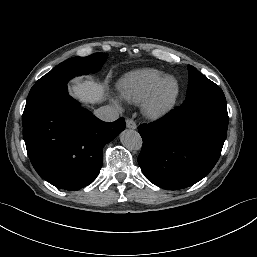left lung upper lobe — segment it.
Returning <instances> with one entry per match:
<instances>
[{"instance_id": "left-lung-upper-lobe-1", "label": "left lung upper lobe", "mask_w": 257, "mask_h": 257, "mask_svg": "<svg viewBox=\"0 0 257 257\" xmlns=\"http://www.w3.org/2000/svg\"><path fill=\"white\" fill-rule=\"evenodd\" d=\"M189 83L184 102L193 103L206 99H225L223 91L195 67L188 66Z\"/></svg>"}]
</instances>
